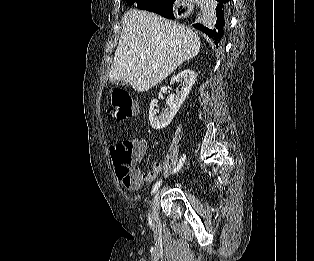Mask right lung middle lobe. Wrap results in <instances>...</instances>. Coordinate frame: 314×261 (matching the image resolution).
Returning a JSON list of instances; mask_svg holds the SVG:
<instances>
[{
    "label": "right lung middle lobe",
    "mask_w": 314,
    "mask_h": 261,
    "mask_svg": "<svg viewBox=\"0 0 314 261\" xmlns=\"http://www.w3.org/2000/svg\"><path fill=\"white\" fill-rule=\"evenodd\" d=\"M161 1H163V0H126V2L129 5H132L133 3L136 2L138 9H141V10H146L149 7L160 3Z\"/></svg>",
    "instance_id": "dd1d6c3e"
}]
</instances>
